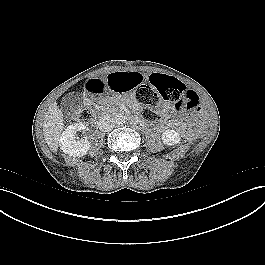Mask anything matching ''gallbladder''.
Returning <instances> with one entry per match:
<instances>
[{
  "label": "gallbladder",
  "mask_w": 265,
  "mask_h": 265,
  "mask_svg": "<svg viewBox=\"0 0 265 265\" xmlns=\"http://www.w3.org/2000/svg\"><path fill=\"white\" fill-rule=\"evenodd\" d=\"M62 105L67 113L76 112L81 107L80 97L75 93H70L63 98Z\"/></svg>",
  "instance_id": "bac80fb5"
}]
</instances>
